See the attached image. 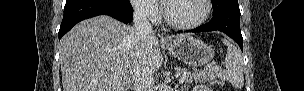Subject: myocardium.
<instances>
[{"mask_svg":"<svg viewBox=\"0 0 304 91\" xmlns=\"http://www.w3.org/2000/svg\"><path fill=\"white\" fill-rule=\"evenodd\" d=\"M171 1H175V0H168V1H163L162 2L163 12H164V18H165V22L169 26H171L173 28H177V29H193V28H197V27L201 26L209 18L210 14H211V11H212L211 1L210 0H201L202 4L204 6V13H203V15L198 20H196L194 22L180 23V22L174 21L169 16V13H168V3L171 2Z\"/></svg>","mask_w":304,"mask_h":91,"instance_id":"1","label":"myocardium"}]
</instances>
